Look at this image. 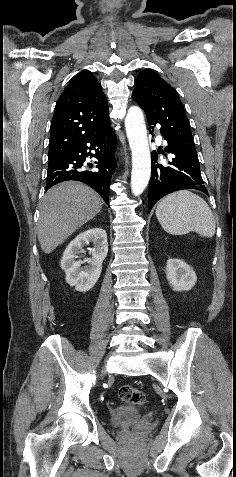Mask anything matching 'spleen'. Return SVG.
Segmentation results:
<instances>
[{
  "mask_svg": "<svg viewBox=\"0 0 236 477\" xmlns=\"http://www.w3.org/2000/svg\"><path fill=\"white\" fill-rule=\"evenodd\" d=\"M156 217L162 228L172 235L194 231L212 238L215 234V219L208 204L188 190L163 198L156 208Z\"/></svg>",
  "mask_w": 236,
  "mask_h": 477,
  "instance_id": "1",
  "label": "spleen"
}]
</instances>
